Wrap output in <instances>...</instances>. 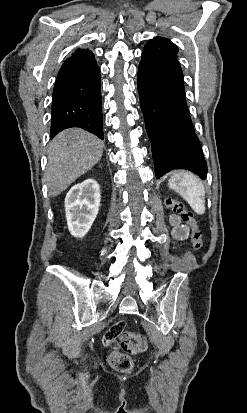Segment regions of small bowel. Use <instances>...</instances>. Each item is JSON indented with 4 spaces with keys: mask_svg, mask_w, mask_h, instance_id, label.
I'll return each mask as SVG.
<instances>
[{
    "mask_svg": "<svg viewBox=\"0 0 247 413\" xmlns=\"http://www.w3.org/2000/svg\"><path fill=\"white\" fill-rule=\"evenodd\" d=\"M173 225L172 235L175 241H182L188 236V229L184 225H179V220L177 217H172L170 220ZM126 329V324L124 322H117L115 324V329H110L108 334L103 336L104 346L108 349H113L115 347L114 338L118 336V331H124Z\"/></svg>",
    "mask_w": 247,
    "mask_h": 413,
    "instance_id": "obj_1",
    "label": "small bowel"
}]
</instances>
